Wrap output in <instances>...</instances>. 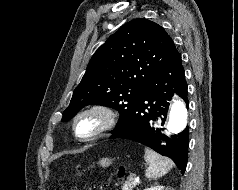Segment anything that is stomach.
<instances>
[{
	"label": "stomach",
	"mask_w": 238,
	"mask_h": 190,
	"mask_svg": "<svg viewBox=\"0 0 238 190\" xmlns=\"http://www.w3.org/2000/svg\"><path fill=\"white\" fill-rule=\"evenodd\" d=\"M111 164H112V159H110V158H102L99 161V165L102 166V167H108Z\"/></svg>",
	"instance_id": "1"
}]
</instances>
